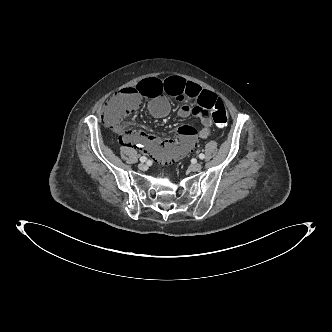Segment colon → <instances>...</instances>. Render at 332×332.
<instances>
[{
    "label": "colon",
    "mask_w": 332,
    "mask_h": 332,
    "mask_svg": "<svg viewBox=\"0 0 332 332\" xmlns=\"http://www.w3.org/2000/svg\"><path fill=\"white\" fill-rule=\"evenodd\" d=\"M133 87L124 89L110 98L103 112L105 122L120 132L121 139L124 132V129L121 127L122 120L135 112L141 102V98L135 89V83ZM210 111L212 119L218 127L223 128L227 125L229 119L228 111L219 98L213 100Z\"/></svg>",
    "instance_id": "5ec220e1"
}]
</instances>
